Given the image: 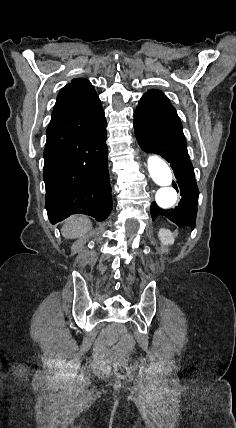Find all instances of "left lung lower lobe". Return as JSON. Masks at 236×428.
<instances>
[{
  "instance_id": "1",
  "label": "left lung lower lobe",
  "mask_w": 236,
  "mask_h": 428,
  "mask_svg": "<svg viewBox=\"0 0 236 428\" xmlns=\"http://www.w3.org/2000/svg\"><path fill=\"white\" fill-rule=\"evenodd\" d=\"M136 139L145 152L161 155L174 170L176 181L173 187L182 196L173 210H165L155 202L151 204V216H166L178 227L196 224L199 190L190 161L182 124L173 106L154 103H139L134 112Z\"/></svg>"
}]
</instances>
